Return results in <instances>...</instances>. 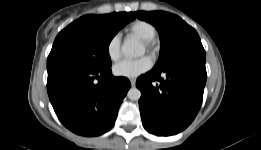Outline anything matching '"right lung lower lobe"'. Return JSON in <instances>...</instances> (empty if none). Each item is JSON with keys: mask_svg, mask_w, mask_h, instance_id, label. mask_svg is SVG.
Here are the masks:
<instances>
[{"mask_svg": "<svg viewBox=\"0 0 261 150\" xmlns=\"http://www.w3.org/2000/svg\"><path fill=\"white\" fill-rule=\"evenodd\" d=\"M131 84L112 76L111 67L100 71L56 68L48 71L47 91L64 126L83 136L101 135L112 128Z\"/></svg>", "mask_w": 261, "mask_h": 150, "instance_id": "right-lung-lower-lobe-1", "label": "right lung lower lobe"}]
</instances>
